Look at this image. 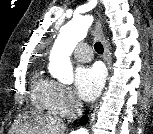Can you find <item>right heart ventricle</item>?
I'll return each instance as SVG.
<instances>
[{"mask_svg": "<svg viewBox=\"0 0 153 134\" xmlns=\"http://www.w3.org/2000/svg\"><path fill=\"white\" fill-rule=\"evenodd\" d=\"M51 81L45 79L39 71H36L32 80L31 98L35 105L49 109Z\"/></svg>", "mask_w": 153, "mask_h": 134, "instance_id": "obj_1", "label": "right heart ventricle"}]
</instances>
